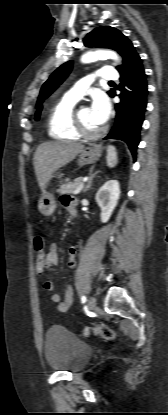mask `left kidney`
Listing matches in <instances>:
<instances>
[{
	"instance_id": "5707ae66",
	"label": "left kidney",
	"mask_w": 168,
	"mask_h": 415,
	"mask_svg": "<svg viewBox=\"0 0 168 415\" xmlns=\"http://www.w3.org/2000/svg\"><path fill=\"white\" fill-rule=\"evenodd\" d=\"M119 197L120 186L117 180L107 181L96 193L95 200L101 209L102 223H106L110 219Z\"/></svg>"
}]
</instances>
